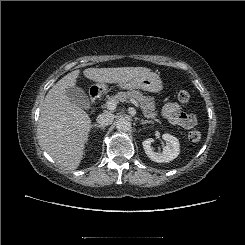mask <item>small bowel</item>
Instances as JSON below:
<instances>
[{
	"mask_svg": "<svg viewBox=\"0 0 245 245\" xmlns=\"http://www.w3.org/2000/svg\"><path fill=\"white\" fill-rule=\"evenodd\" d=\"M163 115L173 124L185 129H191L197 124L194 114H186L181 111L177 103H168L163 108Z\"/></svg>",
	"mask_w": 245,
	"mask_h": 245,
	"instance_id": "obj_1",
	"label": "small bowel"
}]
</instances>
